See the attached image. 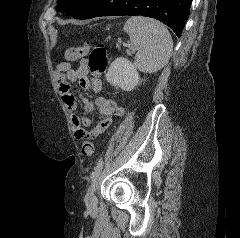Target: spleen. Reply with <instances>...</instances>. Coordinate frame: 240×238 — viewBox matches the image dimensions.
<instances>
[{
    "instance_id": "spleen-1",
    "label": "spleen",
    "mask_w": 240,
    "mask_h": 238,
    "mask_svg": "<svg viewBox=\"0 0 240 238\" xmlns=\"http://www.w3.org/2000/svg\"><path fill=\"white\" fill-rule=\"evenodd\" d=\"M124 31L136 51L134 65L140 71L155 73L168 63L173 41L162 23L146 17H131L126 21Z\"/></svg>"
}]
</instances>
